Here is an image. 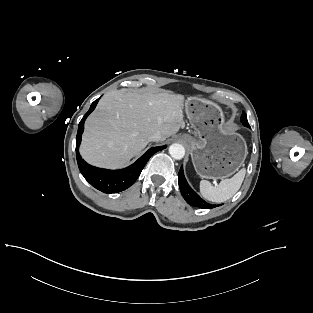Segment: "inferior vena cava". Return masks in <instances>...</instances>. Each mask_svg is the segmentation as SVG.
<instances>
[{"instance_id": "obj_1", "label": "inferior vena cava", "mask_w": 313, "mask_h": 313, "mask_svg": "<svg viewBox=\"0 0 313 313\" xmlns=\"http://www.w3.org/2000/svg\"><path fill=\"white\" fill-rule=\"evenodd\" d=\"M161 139H162V135L160 132H155L149 137L150 141H160Z\"/></svg>"}]
</instances>
